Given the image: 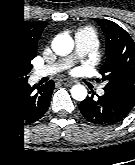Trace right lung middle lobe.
<instances>
[{
  "label": "right lung middle lobe",
  "instance_id": "dd1d6c3e",
  "mask_svg": "<svg viewBox=\"0 0 135 165\" xmlns=\"http://www.w3.org/2000/svg\"><path fill=\"white\" fill-rule=\"evenodd\" d=\"M22 75V73H11L2 70V72L0 73V81H23V78H21Z\"/></svg>",
  "mask_w": 135,
  "mask_h": 165
}]
</instances>
